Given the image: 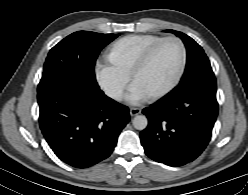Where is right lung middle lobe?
Returning a JSON list of instances; mask_svg holds the SVG:
<instances>
[{"label": "right lung middle lobe", "mask_w": 248, "mask_h": 195, "mask_svg": "<svg viewBox=\"0 0 248 195\" xmlns=\"http://www.w3.org/2000/svg\"><path fill=\"white\" fill-rule=\"evenodd\" d=\"M118 34L75 32L54 46L44 64L38 93L61 84H76L99 90L95 62L100 51Z\"/></svg>", "instance_id": "obj_1"}]
</instances>
